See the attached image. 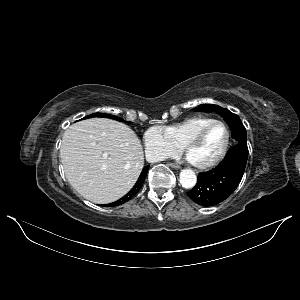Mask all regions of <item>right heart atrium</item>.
Segmentation results:
<instances>
[{
    "instance_id": "right-heart-atrium-1",
    "label": "right heart atrium",
    "mask_w": 300,
    "mask_h": 300,
    "mask_svg": "<svg viewBox=\"0 0 300 300\" xmlns=\"http://www.w3.org/2000/svg\"><path fill=\"white\" fill-rule=\"evenodd\" d=\"M146 157L151 162H158L178 154L179 148L167 137L160 126L147 129L143 135Z\"/></svg>"
}]
</instances>
